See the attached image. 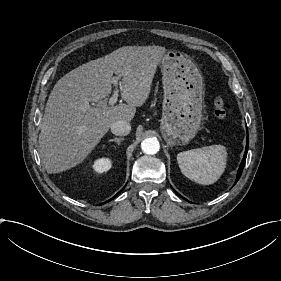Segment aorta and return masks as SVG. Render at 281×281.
I'll return each mask as SVG.
<instances>
[{
    "label": "aorta",
    "mask_w": 281,
    "mask_h": 281,
    "mask_svg": "<svg viewBox=\"0 0 281 281\" xmlns=\"http://www.w3.org/2000/svg\"><path fill=\"white\" fill-rule=\"evenodd\" d=\"M141 148L144 153L153 155L159 151L160 144L156 137H150L142 141Z\"/></svg>",
    "instance_id": "762f6f07"
}]
</instances>
